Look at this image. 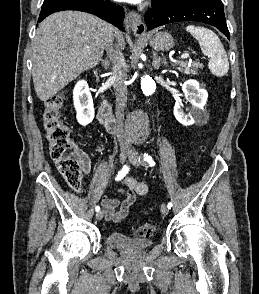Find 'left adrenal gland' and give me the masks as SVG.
<instances>
[{
    "label": "left adrenal gland",
    "mask_w": 259,
    "mask_h": 294,
    "mask_svg": "<svg viewBox=\"0 0 259 294\" xmlns=\"http://www.w3.org/2000/svg\"><path fill=\"white\" fill-rule=\"evenodd\" d=\"M161 64L166 65V58H161L158 57L157 53L153 52V62H152V66L154 67L155 70H159Z\"/></svg>",
    "instance_id": "a2214340"
}]
</instances>
